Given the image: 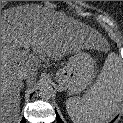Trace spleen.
Returning <instances> with one entry per match:
<instances>
[{"label":"spleen","mask_w":123,"mask_h":123,"mask_svg":"<svg viewBox=\"0 0 123 123\" xmlns=\"http://www.w3.org/2000/svg\"><path fill=\"white\" fill-rule=\"evenodd\" d=\"M123 101V68L115 54H111L90 91L83 97L66 101V110L73 123H105L113 117Z\"/></svg>","instance_id":"1"}]
</instances>
